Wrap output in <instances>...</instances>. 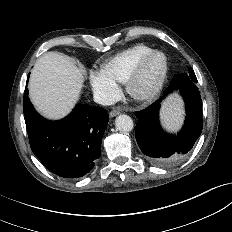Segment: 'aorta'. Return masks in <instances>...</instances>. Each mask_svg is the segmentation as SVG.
I'll return each instance as SVG.
<instances>
[{
	"label": "aorta",
	"mask_w": 232,
	"mask_h": 232,
	"mask_svg": "<svg viewBox=\"0 0 232 232\" xmlns=\"http://www.w3.org/2000/svg\"><path fill=\"white\" fill-rule=\"evenodd\" d=\"M115 126L117 130L122 132H129L133 129V120L130 116L122 114L119 115L115 120Z\"/></svg>",
	"instance_id": "obj_1"
}]
</instances>
